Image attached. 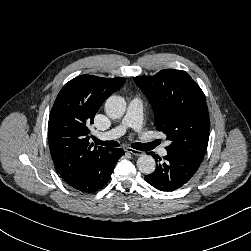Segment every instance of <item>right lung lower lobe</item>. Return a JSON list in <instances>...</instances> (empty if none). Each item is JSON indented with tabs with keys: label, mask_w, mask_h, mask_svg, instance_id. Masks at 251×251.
<instances>
[{
	"label": "right lung lower lobe",
	"mask_w": 251,
	"mask_h": 251,
	"mask_svg": "<svg viewBox=\"0 0 251 251\" xmlns=\"http://www.w3.org/2000/svg\"><path fill=\"white\" fill-rule=\"evenodd\" d=\"M124 154L121 148L112 149L100 156L93 157L82 167L79 174L70 182L74 189L83 193H92L104 187L114 170L119 158Z\"/></svg>",
	"instance_id": "1"
}]
</instances>
